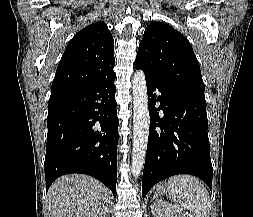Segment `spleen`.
Returning <instances> with one entry per match:
<instances>
[{"instance_id": "1", "label": "spleen", "mask_w": 253, "mask_h": 217, "mask_svg": "<svg viewBox=\"0 0 253 217\" xmlns=\"http://www.w3.org/2000/svg\"><path fill=\"white\" fill-rule=\"evenodd\" d=\"M168 194L175 210L186 208L195 217H209L211 202L208 191L195 177L177 175L168 180Z\"/></svg>"}]
</instances>
